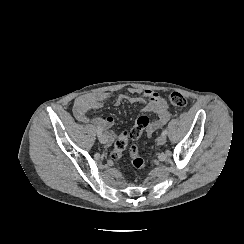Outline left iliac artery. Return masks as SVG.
Returning <instances> with one entry per match:
<instances>
[{
	"mask_svg": "<svg viewBox=\"0 0 244 244\" xmlns=\"http://www.w3.org/2000/svg\"><path fill=\"white\" fill-rule=\"evenodd\" d=\"M168 134V130L167 129H164L163 131H162V135H167Z\"/></svg>",
	"mask_w": 244,
	"mask_h": 244,
	"instance_id": "1",
	"label": "left iliac artery"
}]
</instances>
